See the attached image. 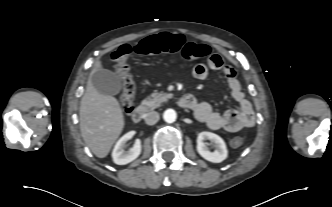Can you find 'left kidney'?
<instances>
[{
  "label": "left kidney",
  "mask_w": 332,
  "mask_h": 207,
  "mask_svg": "<svg viewBox=\"0 0 332 207\" xmlns=\"http://www.w3.org/2000/svg\"><path fill=\"white\" fill-rule=\"evenodd\" d=\"M206 139H210L215 144V150L210 151L204 142ZM197 151L207 161L213 163H220L227 158V148L224 140L212 133V132H201L197 137Z\"/></svg>",
  "instance_id": "obj_1"
}]
</instances>
